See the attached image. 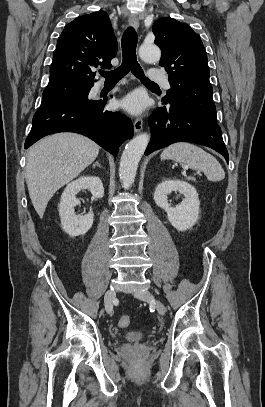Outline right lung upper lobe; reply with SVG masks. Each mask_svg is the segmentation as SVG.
I'll list each match as a JSON object with an SVG mask.
<instances>
[{
    "mask_svg": "<svg viewBox=\"0 0 265 407\" xmlns=\"http://www.w3.org/2000/svg\"><path fill=\"white\" fill-rule=\"evenodd\" d=\"M117 40L105 11L76 18L61 33L53 57L49 83L93 84V67L111 68Z\"/></svg>",
    "mask_w": 265,
    "mask_h": 407,
    "instance_id": "right-lung-upper-lobe-1",
    "label": "right lung upper lobe"
}]
</instances>
